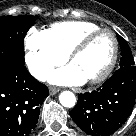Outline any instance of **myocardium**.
Segmentation results:
<instances>
[{
    "mask_svg": "<svg viewBox=\"0 0 136 136\" xmlns=\"http://www.w3.org/2000/svg\"><path fill=\"white\" fill-rule=\"evenodd\" d=\"M102 34H109L112 37L113 40V54L112 58L107 65V67L97 76L90 78L86 80L89 84H98L103 81H105L113 72L119 56V42L116 37V34L110 30V29H104L100 28L96 31L90 32L87 35H85L83 38L79 40V42L71 49V51L68 54V61L72 63V61L81 54L88 46L89 44L98 36Z\"/></svg>",
    "mask_w": 136,
    "mask_h": 136,
    "instance_id": "obj_1",
    "label": "myocardium"
}]
</instances>
